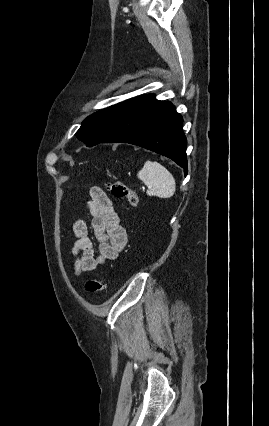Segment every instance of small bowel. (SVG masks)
I'll return each instance as SVG.
<instances>
[{
	"instance_id": "c3829d8e",
	"label": "small bowel",
	"mask_w": 269,
	"mask_h": 426,
	"mask_svg": "<svg viewBox=\"0 0 269 426\" xmlns=\"http://www.w3.org/2000/svg\"><path fill=\"white\" fill-rule=\"evenodd\" d=\"M89 195L91 227L99 241V252L97 254L94 252L85 222L75 220L72 223V232L76 240L71 252L74 258V273L77 277L117 259L128 241L122 218L107 193L100 187H92Z\"/></svg>"
}]
</instances>
